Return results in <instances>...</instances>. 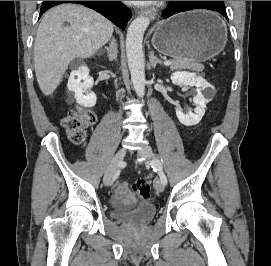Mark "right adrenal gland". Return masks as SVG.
Listing matches in <instances>:
<instances>
[{
	"instance_id": "right-adrenal-gland-1",
	"label": "right adrenal gland",
	"mask_w": 271,
	"mask_h": 266,
	"mask_svg": "<svg viewBox=\"0 0 271 266\" xmlns=\"http://www.w3.org/2000/svg\"><path fill=\"white\" fill-rule=\"evenodd\" d=\"M110 62L117 59L118 46L114 37L111 38L109 47H105Z\"/></svg>"
}]
</instances>
